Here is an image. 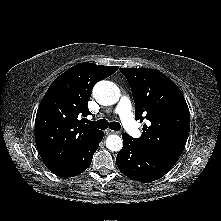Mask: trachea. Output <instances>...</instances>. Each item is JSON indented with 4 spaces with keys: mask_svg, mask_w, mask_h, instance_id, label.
Masks as SVG:
<instances>
[{
    "mask_svg": "<svg viewBox=\"0 0 221 221\" xmlns=\"http://www.w3.org/2000/svg\"><path fill=\"white\" fill-rule=\"evenodd\" d=\"M90 124L102 130L107 129L109 127L111 130L118 131L121 128V125L118 122L114 121L109 123L106 119H100L96 122H91Z\"/></svg>",
    "mask_w": 221,
    "mask_h": 221,
    "instance_id": "trachea-1",
    "label": "trachea"
}]
</instances>
